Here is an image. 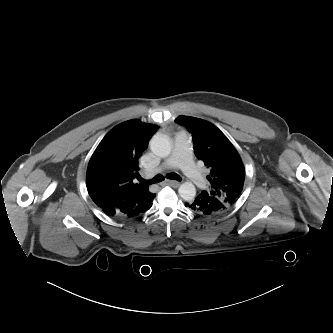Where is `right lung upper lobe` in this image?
<instances>
[{
	"instance_id": "1",
	"label": "right lung upper lobe",
	"mask_w": 333,
	"mask_h": 333,
	"mask_svg": "<svg viewBox=\"0 0 333 333\" xmlns=\"http://www.w3.org/2000/svg\"><path fill=\"white\" fill-rule=\"evenodd\" d=\"M158 128L133 119L117 125L102 139L86 174L88 193L98 207H115L129 216L151 208L155 194L138 173V159Z\"/></svg>"
}]
</instances>
